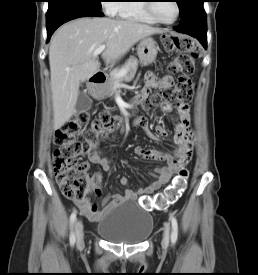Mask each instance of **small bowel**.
<instances>
[{"mask_svg":"<svg viewBox=\"0 0 258 275\" xmlns=\"http://www.w3.org/2000/svg\"><path fill=\"white\" fill-rule=\"evenodd\" d=\"M146 85L141 90L139 98H147L152 89L158 86L161 89L170 88L173 85V78L169 75L162 77L160 81L152 72H148L145 76ZM169 110V109H166ZM190 104L184 103L177 109L176 119L177 123L175 125V133L173 135V141L177 148L173 154L164 153L158 149L144 148L142 146H136L134 148V153L136 156L142 159L158 160L164 161L165 165L157 167L154 170L155 180L144 187H138L136 189L126 188L122 194L109 195L105 197L102 201V208L98 209L97 206L92 204L89 200L85 199L83 201H74L78 206L82 215L87 217L91 221H97L103 217L104 214L127 202L135 201L139 196L147 195L155 192L160 187L164 186L169 182L174 173H176L184 164H186L192 153L193 149V135L190 127ZM136 124L142 127L148 135L157 139L156 135L152 132V127L146 119H138ZM155 131L159 135H165L166 130L162 125H156ZM88 161L91 164L99 165L104 172H109L111 170V161L109 158L101 155L100 152L91 149L88 152ZM102 172H96L92 176V185L95 189L96 194H101L102 191ZM120 184L123 187L128 185V179L122 177L120 179Z\"/></svg>","mask_w":258,"mask_h":275,"instance_id":"obj_1","label":"small bowel"}]
</instances>
